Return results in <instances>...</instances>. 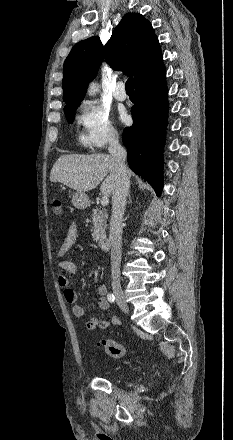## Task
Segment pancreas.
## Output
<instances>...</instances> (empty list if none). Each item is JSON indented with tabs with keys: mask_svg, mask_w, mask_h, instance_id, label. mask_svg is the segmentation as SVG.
<instances>
[{
	"mask_svg": "<svg viewBox=\"0 0 233 440\" xmlns=\"http://www.w3.org/2000/svg\"><path fill=\"white\" fill-rule=\"evenodd\" d=\"M92 222H93V233L92 238L94 241H100L106 237V228H107V215L105 210L100 208H95L92 214Z\"/></svg>",
	"mask_w": 233,
	"mask_h": 440,
	"instance_id": "pancreas-1",
	"label": "pancreas"
}]
</instances>
